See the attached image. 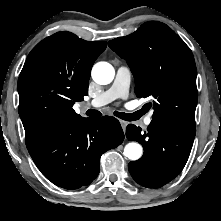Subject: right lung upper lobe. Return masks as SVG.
I'll list each match as a JSON object with an SVG mask.
<instances>
[{"mask_svg":"<svg viewBox=\"0 0 221 221\" xmlns=\"http://www.w3.org/2000/svg\"><path fill=\"white\" fill-rule=\"evenodd\" d=\"M106 46L58 32L32 49L18 79L27 148L57 126L82 119L72 107L88 94L92 65Z\"/></svg>","mask_w":221,"mask_h":221,"instance_id":"cb5924a9","label":"right lung upper lobe"}]
</instances>
